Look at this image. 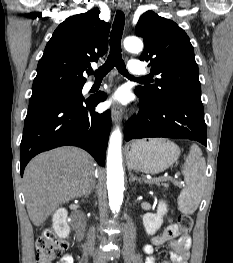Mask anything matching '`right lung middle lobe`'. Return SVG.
Instances as JSON below:
<instances>
[{"label":"right lung middle lobe","instance_id":"right-lung-middle-lobe-1","mask_svg":"<svg viewBox=\"0 0 233 263\" xmlns=\"http://www.w3.org/2000/svg\"><path fill=\"white\" fill-rule=\"evenodd\" d=\"M82 87H77V88H72L68 90H63V91H58V92H53V93H48V94H43V95H38V96H31L29 100V104L39 101V100H44V99H50L54 97H60V96H79L82 97Z\"/></svg>","mask_w":233,"mask_h":263}]
</instances>
